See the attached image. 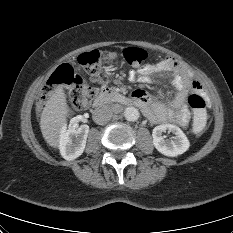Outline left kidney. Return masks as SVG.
<instances>
[{
	"label": "left kidney",
	"mask_w": 233,
	"mask_h": 233,
	"mask_svg": "<svg viewBox=\"0 0 233 233\" xmlns=\"http://www.w3.org/2000/svg\"><path fill=\"white\" fill-rule=\"evenodd\" d=\"M166 130L173 133L171 139H166L163 132ZM153 144L155 148L163 155L175 157L183 154L189 149L190 143L183 131L172 124H162L156 126L152 132Z\"/></svg>",
	"instance_id": "1"
}]
</instances>
